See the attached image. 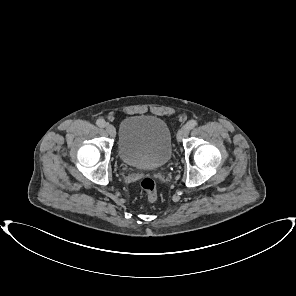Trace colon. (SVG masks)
Returning <instances> with one entry per match:
<instances>
[{
  "label": "colon",
  "mask_w": 296,
  "mask_h": 296,
  "mask_svg": "<svg viewBox=\"0 0 296 296\" xmlns=\"http://www.w3.org/2000/svg\"><path fill=\"white\" fill-rule=\"evenodd\" d=\"M140 188L146 194L149 201L153 202L157 199L156 183L153 179L149 177L142 179Z\"/></svg>",
  "instance_id": "colon-1"
}]
</instances>
